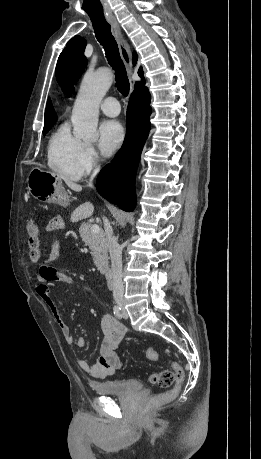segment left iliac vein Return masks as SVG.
Masks as SVG:
<instances>
[{
  "instance_id": "4c4485c4",
  "label": "left iliac vein",
  "mask_w": 261,
  "mask_h": 459,
  "mask_svg": "<svg viewBox=\"0 0 261 459\" xmlns=\"http://www.w3.org/2000/svg\"><path fill=\"white\" fill-rule=\"evenodd\" d=\"M122 313H123L124 319H127V318H128V312H127V310H126L124 307H123V309H122Z\"/></svg>"
}]
</instances>
